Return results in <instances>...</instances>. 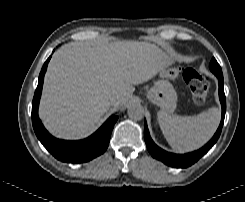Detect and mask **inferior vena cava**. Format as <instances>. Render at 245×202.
<instances>
[{
  "label": "inferior vena cava",
  "instance_id": "602c4592",
  "mask_svg": "<svg viewBox=\"0 0 245 202\" xmlns=\"http://www.w3.org/2000/svg\"><path fill=\"white\" fill-rule=\"evenodd\" d=\"M108 101L111 105H115L118 101V96L117 95H111V96H109Z\"/></svg>",
  "mask_w": 245,
  "mask_h": 202
}]
</instances>
